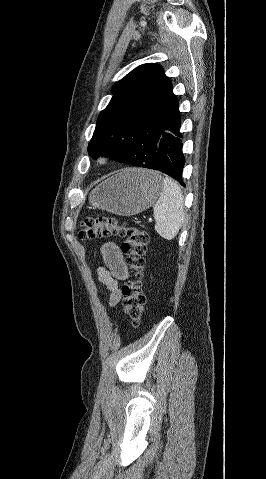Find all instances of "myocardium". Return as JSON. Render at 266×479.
Here are the masks:
<instances>
[{
  "label": "myocardium",
  "instance_id": "myocardium-1",
  "mask_svg": "<svg viewBox=\"0 0 266 479\" xmlns=\"http://www.w3.org/2000/svg\"><path fill=\"white\" fill-rule=\"evenodd\" d=\"M95 161L99 165H105L109 161V155L107 152H100L95 156Z\"/></svg>",
  "mask_w": 266,
  "mask_h": 479
}]
</instances>
